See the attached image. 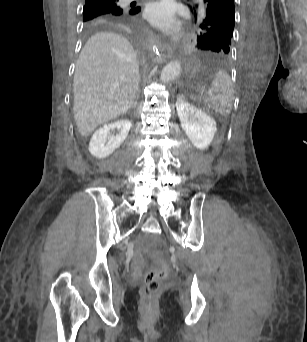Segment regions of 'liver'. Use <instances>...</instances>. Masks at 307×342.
Masks as SVG:
<instances>
[{
	"mask_svg": "<svg viewBox=\"0 0 307 342\" xmlns=\"http://www.w3.org/2000/svg\"><path fill=\"white\" fill-rule=\"evenodd\" d=\"M140 82L134 50L120 34L99 32L86 42L73 80L74 118L88 138L98 126L131 108Z\"/></svg>",
	"mask_w": 307,
	"mask_h": 342,
	"instance_id": "obj_1",
	"label": "liver"
}]
</instances>
